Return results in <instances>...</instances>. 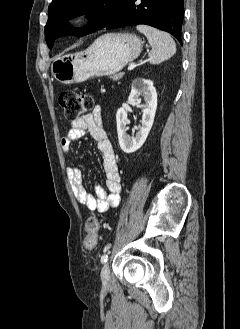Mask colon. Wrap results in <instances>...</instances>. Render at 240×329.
<instances>
[{
	"label": "colon",
	"mask_w": 240,
	"mask_h": 329,
	"mask_svg": "<svg viewBox=\"0 0 240 329\" xmlns=\"http://www.w3.org/2000/svg\"><path fill=\"white\" fill-rule=\"evenodd\" d=\"M59 103L64 109L65 117L69 120H76L79 116L93 106V98L84 93L76 91L62 92L59 97ZM87 234L84 239V245L87 249H94L98 242L99 221L97 218L90 217L86 222Z\"/></svg>",
	"instance_id": "5ec220e1"
}]
</instances>
